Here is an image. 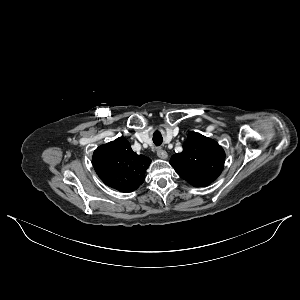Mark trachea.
Listing matches in <instances>:
<instances>
[{
	"instance_id": "1",
	"label": "trachea",
	"mask_w": 300,
	"mask_h": 300,
	"mask_svg": "<svg viewBox=\"0 0 300 300\" xmlns=\"http://www.w3.org/2000/svg\"><path fill=\"white\" fill-rule=\"evenodd\" d=\"M153 142L156 146H160L163 142L162 135L159 131H155L153 134Z\"/></svg>"
}]
</instances>
